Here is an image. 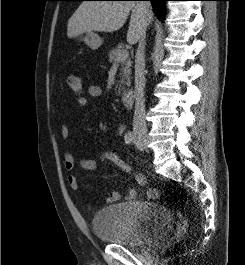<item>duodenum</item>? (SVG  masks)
I'll return each instance as SVG.
<instances>
[{"mask_svg":"<svg viewBox=\"0 0 245 265\" xmlns=\"http://www.w3.org/2000/svg\"><path fill=\"white\" fill-rule=\"evenodd\" d=\"M122 101L125 106L130 107L134 101V92L131 90H127L122 95Z\"/></svg>","mask_w":245,"mask_h":265,"instance_id":"410a0bca","label":"duodenum"}]
</instances>
